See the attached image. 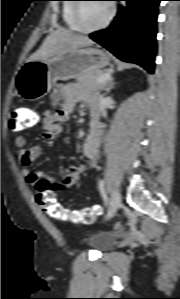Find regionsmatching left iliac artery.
<instances>
[{"mask_svg":"<svg viewBox=\"0 0 180 299\" xmlns=\"http://www.w3.org/2000/svg\"><path fill=\"white\" fill-rule=\"evenodd\" d=\"M98 186H99V190L102 194V197L104 199L105 205H107L108 204V198H107V194H106L105 188H104V181L100 180L99 183H98Z\"/></svg>","mask_w":180,"mask_h":299,"instance_id":"left-iliac-artery-1","label":"left iliac artery"}]
</instances>
